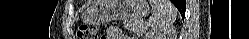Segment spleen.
Here are the masks:
<instances>
[{
  "instance_id": "obj_1",
  "label": "spleen",
  "mask_w": 249,
  "mask_h": 39,
  "mask_svg": "<svg viewBox=\"0 0 249 39\" xmlns=\"http://www.w3.org/2000/svg\"><path fill=\"white\" fill-rule=\"evenodd\" d=\"M154 13L150 18V22L154 31H166L175 21L177 9L169 0H151Z\"/></svg>"
}]
</instances>
